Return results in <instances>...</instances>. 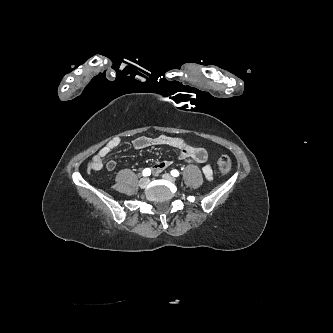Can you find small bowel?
<instances>
[{"instance_id":"c3829d8e","label":"small bowel","mask_w":333,"mask_h":333,"mask_svg":"<svg viewBox=\"0 0 333 333\" xmlns=\"http://www.w3.org/2000/svg\"><path fill=\"white\" fill-rule=\"evenodd\" d=\"M120 139L118 137L112 138L105 146H103L97 154H95L89 163L92 170H101L104 166V161L107 156L119 146ZM133 146L136 149H146L155 146H170L179 149V159L188 163L203 164L207 160V152L201 146H194L186 142L183 138L174 137L169 135H161L158 137H138L133 140ZM171 164L170 160H162L152 167L154 175H158L167 169ZM108 171H112L116 167L114 160H108L105 164ZM202 171L207 180H212L213 171L210 165L205 164Z\"/></svg>"}]
</instances>
